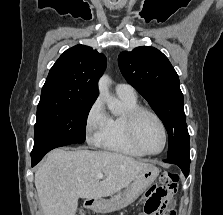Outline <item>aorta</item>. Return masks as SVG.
<instances>
[{"instance_id":"aorta-1","label":"aorta","mask_w":223,"mask_h":215,"mask_svg":"<svg viewBox=\"0 0 223 215\" xmlns=\"http://www.w3.org/2000/svg\"><path fill=\"white\" fill-rule=\"evenodd\" d=\"M110 84L111 80L109 76H106V74H104V76H102V78H100L98 82V88L100 92L99 98H103V100H105L108 108L111 109V111H116L119 100H117V98H113V96H110L109 94Z\"/></svg>"}]
</instances>
